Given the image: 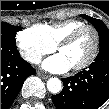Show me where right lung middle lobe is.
<instances>
[{
	"mask_svg": "<svg viewBox=\"0 0 109 109\" xmlns=\"http://www.w3.org/2000/svg\"><path fill=\"white\" fill-rule=\"evenodd\" d=\"M21 29L22 27L1 22V44L16 48L15 33L17 30L20 31Z\"/></svg>",
	"mask_w": 109,
	"mask_h": 109,
	"instance_id": "dd1d6c3e",
	"label": "right lung middle lobe"
}]
</instances>
